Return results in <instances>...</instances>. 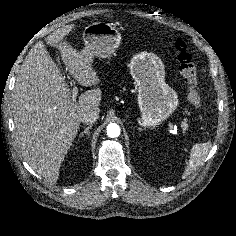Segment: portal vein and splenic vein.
<instances>
[{
	"label": "portal vein and splenic vein",
	"instance_id": "obj_1",
	"mask_svg": "<svg viewBox=\"0 0 236 236\" xmlns=\"http://www.w3.org/2000/svg\"><path fill=\"white\" fill-rule=\"evenodd\" d=\"M77 93H78V88L76 86H74V88L72 89V96H71L73 101L76 100ZM168 126L170 129L176 130L175 126L172 123L169 122ZM181 127L186 129L188 127V125L185 122H182Z\"/></svg>",
	"mask_w": 236,
	"mask_h": 236
}]
</instances>
